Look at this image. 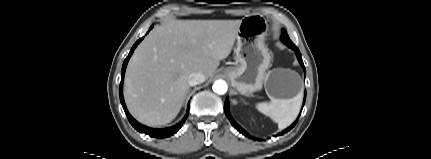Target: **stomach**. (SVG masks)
I'll return each instance as SVG.
<instances>
[{
	"label": "stomach",
	"instance_id": "obj_1",
	"mask_svg": "<svg viewBox=\"0 0 431 159\" xmlns=\"http://www.w3.org/2000/svg\"><path fill=\"white\" fill-rule=\"evenodd\" d=\"M268 22L262 15H247L241 20L237 33L236 64L223 73L242 95L249 96L263 85L270 98L292 99L302 91L300 76L288 69L266 73L271 56L265 46Z\"/></svg>",
	"mask_w": 431,
	"mask_h": 159
}]
</instances>
